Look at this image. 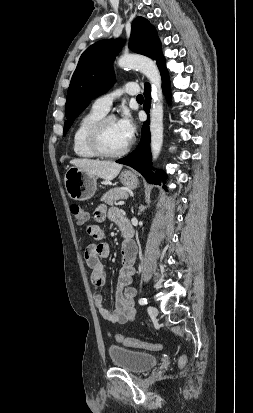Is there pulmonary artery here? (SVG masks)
I'll return each mask as SVG.
<instances>
[{
  "mask_svg": "<svg viewBox=\"0 0 253 413\" xmlns=\"http://www.w3.org/2000/svg\"><path fill=\"white\" fill-rule=\"evenodd\" d=\"M138 93H139L138 85L134 82H128L121 89H118L111 93H107L97 98L93 103V108L103 113H107L110 110L113 101L116 98H118L120 95L128 94V95L133 96V95H138Z\"/></svg>",
  "mask_w": 253,
  "mask_h": 413,
  "instance_id": "1",
  "label": "pulmonary artery"
}]
</instances>
